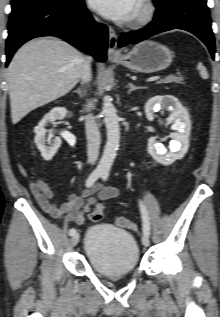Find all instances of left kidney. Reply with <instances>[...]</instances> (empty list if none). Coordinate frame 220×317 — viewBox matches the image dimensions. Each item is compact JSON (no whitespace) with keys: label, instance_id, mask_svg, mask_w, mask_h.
Here are the masks:
<instances>
[{"label":"left kidney","instance_id":"1","mask_svg":"<svg viewBox=\"0 0 220 317\" xmlns=\"http://www.w3.org/2000/svg\"><path fill=\"white\" fill-rule=\"evenodd\" d=\"M161 107L172 111L169 119L173 122L172 130L176 132L170 135L173 140L170 141L169 152L161 143L156 141L155 137L148 140V152L160 164L169 165L175 160L183 158L188 151L191 122L188 111L179 103L177 98L171 95L150 98L145 104L146 118L153 121L154 113L158 112Z\"/></svg>","mask_w":220,"mask_h":317}]
</instances>
